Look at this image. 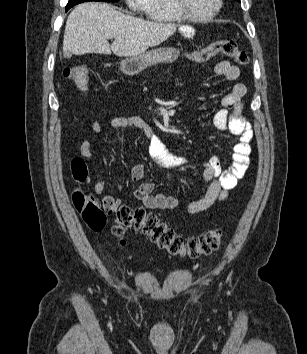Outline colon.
I'll return each mask as SVG.
<instances>
[{"label": "colon", "instance_id": "colon-1", "mask_svg": "<svg viewBox=\"0 0 307 354\" xmlns=\"http://www.w3.org/2000/svg\"><path fill=\"white\" fill-rule=\"evenodd\" d=\"M222 54L234 59L239 65L248 63V55L241 50L236 41L232 39L212 42L201 50L188 54L193 62H204ZM64 76L78 86L84 87L89 81V72L84 66H72L64 69ZM73 178L77 182H84L87 178V167L81 158H75L71 164ZM73 204L84 222L94 231H101L106 225L107 213H115L112 232L122 237L126 230L134 229L148 236L158 247L166 250L172 256L197 258L215 251L221 241L219 229L209 230L197 237L185 240L166 223L143 207L130 208L119 205L114 210L107 209L104 204L100 206L91 195L80 190L72 194ZM124 243V241H121Z\"/></svg>", "mask_w": 307, "mask_h": 354}]
</instances>
